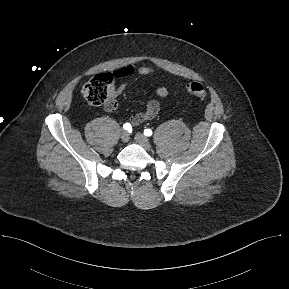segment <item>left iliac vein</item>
I'll return each instance as SVG.
<instances>
[{"mask_svg":"<svg viewBox=\"0 0 289 289\" xmlns=\"http://www.w3.org/2000/svg\"><path fill=\"white\" fill-rule=\"evenodd\" d=\"M135 140L136 142L142 146L145 150L147 151H150L151 150V145H150V142L148 140V138L146 136H144L143 134L141 133H137L135 135Z\"/></svg>","mask_w":289,"mask_h":289,"instance_id":"4c4485c4","label":"left iliac vein"}]
</instances>
